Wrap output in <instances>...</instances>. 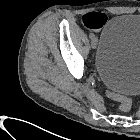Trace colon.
Masks as SVG:
<instances>
[{"mask_svg":"<svg viewBox=\"0 0 140 140\" xmlns=\"http://www.w3.org/2000/svg\"><path fill=\"white\" fill-rule=\"evenodd\" d=\"M107 95L110 99L116 101L119 104V108L121 111L123 112L130 111L131 106H132L131 99L113 91H107Z\"/></svg>","mask_w":140,"mask_h":140,"instance_id":"1","label":"colon"}]
</instances>
